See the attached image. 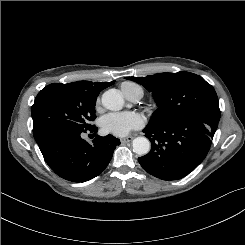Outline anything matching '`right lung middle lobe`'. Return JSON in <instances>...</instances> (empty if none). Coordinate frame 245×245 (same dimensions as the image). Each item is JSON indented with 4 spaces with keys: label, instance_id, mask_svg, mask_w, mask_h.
I'll list each match as a JSON object with an SVG mask.
<instances>
[{
    "label": "right lung middle lobe",
    "instance_id": "dd1d6c3e",
    "mask_svg": "<svg viewBox=\"0 0 245 245\" xmlns=\"http://www.w3.org/2000/svg\"><path fill=\"white\" fill-rule=\"evenodd\" d=\"M96 94L69 84H50L32 106L33 134L39 142L54 130L85 132L94 127Z\"/></svg>",
    "mask_w": 245,
    "mask_h": 245
}]
</instances>
